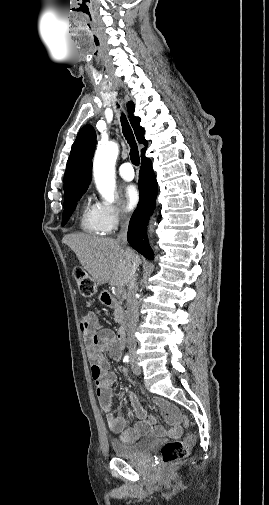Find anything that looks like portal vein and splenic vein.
<instances>
[{
    "instance_id": "obj_1",
    "label": "portal vein and splenic vein",
    "mask_w": 269,
    "mask_h": 505,
    "mask_svg": "<svg viewBox=\"0 0 269 505\" xmlns=\"http://www.w3.org/2000/svg\"><path fill=\"white\" fill-rule=\"evenodd\" d=\"M117 293L118 294H122L123 293V288L118 286Z\"/></svg>"
}]
</instances>
